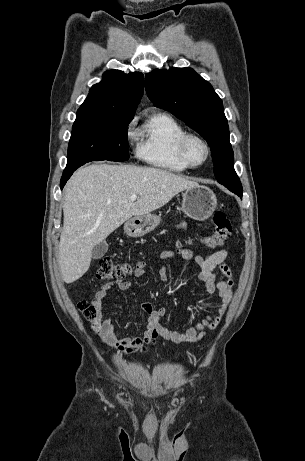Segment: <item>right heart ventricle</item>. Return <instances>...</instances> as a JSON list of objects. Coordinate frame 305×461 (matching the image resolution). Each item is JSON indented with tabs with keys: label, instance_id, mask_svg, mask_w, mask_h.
I'll return each instance as SVG.
<instances>
[{
	"label": "right heart ventricle",
	"instance_id": "right-heart-ventricle-1",
	"mask_svg": "<svg viewBox=\"0 0 305 461\" xmlns=\"http://www.w3.org/2000/svg\"><path fill=\"white\" fill-rule=\"evenodd\" d=\"M187 133L172 116L152 115L138 130L137 156L149 165L171 172H183L189 167L178 153V143Z\"/></svg>",
	"mask_w": 305,
	"mask_h": 461
}]
</instances>
